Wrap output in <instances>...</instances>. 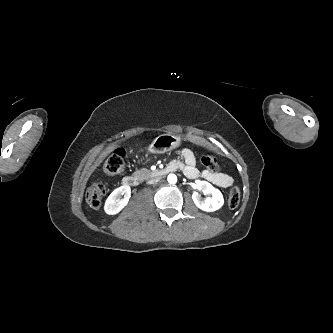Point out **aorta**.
Instances as JSON below:
<instances>
[{
	"mask_svg": "<svg viewBox=\"0 0 333 333\" xmlns=\"http://www.w3.org/2000/svg\"><path fill=\"white\" fill-rule=\"evenodd\" d=\"M167 180L169 184H176L177 176L175 174H169Z\"/></svg>",
	"mask_w": 333,
	"mask_h": 333,
	"instance_id": "obj_1",
	"label": "aorta"
}]
</instances>
